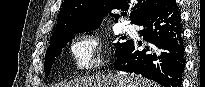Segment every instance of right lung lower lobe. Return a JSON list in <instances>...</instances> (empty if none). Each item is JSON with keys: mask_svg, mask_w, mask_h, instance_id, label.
Returning a JSON list of instances; mask_svg holds the SVG:
<instances>
[{"mask_svg": "<svg viewBox=\"0 0 205 87\" xmlns=\"http://www.w3.org/2000/svg\"><path fill=\"white\" fill-rule=\"evenodd\" d=\"M137 25L145 27L140 36L151 44L139 51L128 40L116 53L114 67L140 74L164 87H181L185 66L183 29L175 0L148 15Z\"/></svg>", "mask_w": 205, "mask_h": 87, "instance_id": "right-lung-lower-lobe-1", "label": "right lung lower lobe"}]
</instances>
